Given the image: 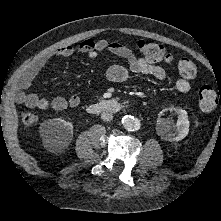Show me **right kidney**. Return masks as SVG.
<instances>
[{"instance_id": "obj_1", "label": "right kidney", "mask_w": 221, "mask_h": 221, "mask_svg": "<svg viewBox=\"0 0 221 221\" xmlns=\"http://www.w3.org/2000/svg\"><path fill=\"white\" fill-rule=\"evenodd\" d=\"M40 134L50 150L60 151L69 145L73 136V125L61 118L48 119L41 124Z\"/></svg>"}]
</instances>
